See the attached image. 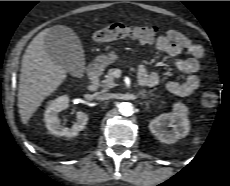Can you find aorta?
<instances>
[{
	"instance_id": "762f6f07",
	"label": "aorta",
	"mask_w": 230,
	"mask_h": 186,
	"mask_svg": "<svg viewBox=\"0 0 230 186\" xmlns=\"http://www.w3.org/2000/svg\"><path fill=\"white\" fill-rule=\"evenodd\" d=\"M119 111L124 116H131L134 112V107L129 102H123L119 105Z\"/></svg>"
}]
</instances>
